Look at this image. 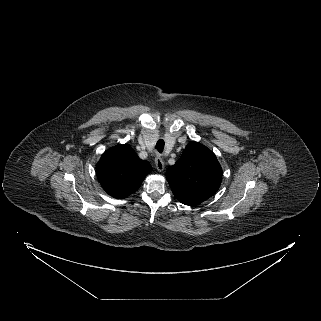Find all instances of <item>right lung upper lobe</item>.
Wrapping results in <instances>:
<instances>
[{"label": "right lung upper lobe", "mask_w": 321, "mask_h": 321, "mask_svg": "<svg viewBox=\"0 0 321 321\" xmlns=\"http://www.w3.org/2000/svg\"><path fill=\"white\" fill-rule=\"evenodd\" d=\"M151 170L150 163L141 160L127 144L105 151L96 166L97 178L103 189L118 199L137 191Z\"/></svg>", "instance_id": "1"}]
</instances>
